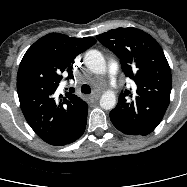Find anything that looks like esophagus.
Listing matches in <instances>:
<instances>
[{
	"instance_id": "1",
	"label": "esophagus",
	"mask_w": 187,
	"mask_h": 187,
	"mask_svg": "<svg viewBox=\"0 0 187 187\" xmlns=\"http://www.w3.org/2000/svg\"><path fill=\"white\" fill-rule=\"evenodd\" d=\"M100 95L99 94H92L89 96L90 101L94 102L97 101L99 99Z\"/></svg>"
}]
</instances>
